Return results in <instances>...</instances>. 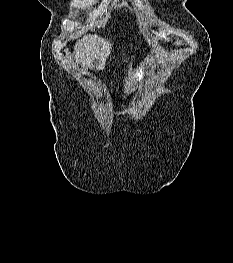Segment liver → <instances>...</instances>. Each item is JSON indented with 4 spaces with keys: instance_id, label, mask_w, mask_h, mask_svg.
I'll return each instance as SVG.
<instances>
[{
    "instance_id": "6515ba94",
    "label": "liver",
    "mask_w": 233,
    "mask_h": 263,
    "mask_svg": "<svg viewBox=\"0 0 233 263\" xmlns=\"http://www.w3.org/2000/svg\"><path fill=\"white\" fill-rule=\"evenodd\" d=\"M112 50V43L98 35H86L74 46L75 64L87 71L93 61L98 60L100 68H104Z\"/></svg>"
}]
</instances>
